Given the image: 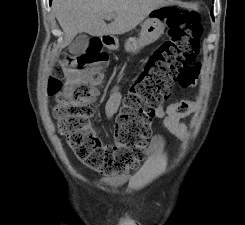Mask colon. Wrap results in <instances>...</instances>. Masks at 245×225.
<instances>
[{
  "mask_svg": "<svg viewBox=\"0 0 245 225\" xmlns=\"http://www.w3.org/2000/svg\"><path fill=\"white\" fill-rule=\"evenodd\" d=\"M163 19L168 39L146 59L132 82L116 118L114 145H104L90 126L98 91L86 80L100 74L80 70L87 66L108 67L109 56L99 40L86 38L85 54H63L54 67L49 91L57 97L53 116L59 133L77 160L94 171L124 175L144 156L157 107L170 97L175 85L189 88L197 81L199 68L194 63L202 32L199 14L170 7L164 8ZM193 111L191 100L176 103L180 117Z\"/></svg>",
  "mask_w": 245,
  "mask_h": 225,
  "instance_id": "5ec220e1",
  "label": "colon"
}]
</instances>
